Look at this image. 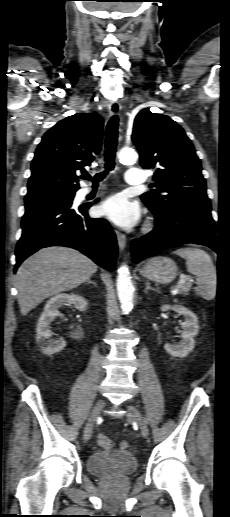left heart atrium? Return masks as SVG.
<instances>
[{
  "mask_svg": "<svg viewBox=\"0 0 230 517\" xmlns=\"http://www.w3.org/2000/svg\"><path fill=\"white\" fill-rule=\"evenodd\" d=\"M101 215L122 227L134 225L139 218V207L122 194L108 198L100 207Z\"/></svg>",
  "mask_w": 230,
  "mask_h": 517,
  "instance_id": "1",
  "label": "left heart atrium"
}]
</instances>
